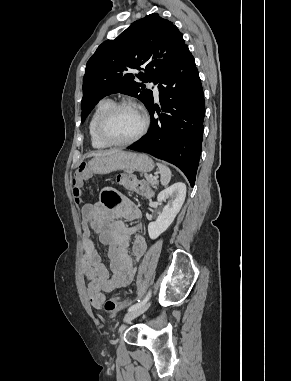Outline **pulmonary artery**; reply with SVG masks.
Returning a JSON list of instances; mask_svg holds the SVG:
<instances>
[{
	"instance_id": "1",
	"label": "pulmonary artery",
	"mask_w": 291,
	"mask_h": 381,
	"mask_svg": "<svg viewBox=\"0 0 291 381\" xmlns=\"http://www.w3.org/2000/svg\"><path fill=\"white\" fill-rule=\"evenodd\" d=\"M149 85H150L151 87H153V91H154L155 95L158 96V95H159V89H158L157 84H155L154 82H150Z\"/></svg>"
}]
</instances>
